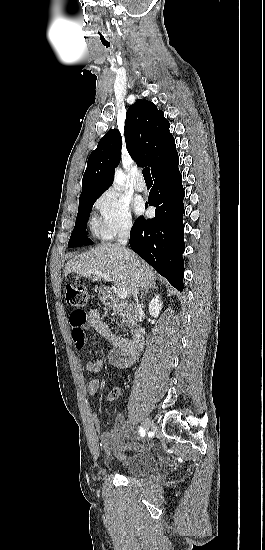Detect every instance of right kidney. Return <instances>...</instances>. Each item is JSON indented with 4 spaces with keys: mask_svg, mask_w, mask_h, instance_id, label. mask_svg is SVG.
Listing matches in <instances>:
<instances>
[{
    "mask_svg": "<svg viewBox=\"0 0 265 550\" xmlns=\"http://www.w3.org/2000/svg\"><path fill=\"white\" fill-rule=\"evenodd\" d=\"M163 303L160 301V296L155 295L154 298L149 303V313L154 317H158Z\"/></svg>",
    "mask_w": 265,
    "mask_h": 550,
    "instance_id": "1",
    "label": "right kidney"
}]
</instances>
